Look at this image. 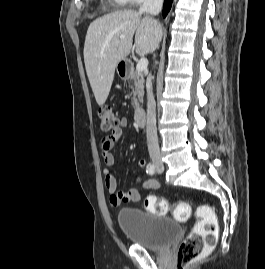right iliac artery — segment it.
<instances>
[{"instance_id": "1", "label": "right iliac artery", "mask_w": 265, "mask_h": 269, "mask_svg": "<svg viewBox=\"0 0 265 269\" xmlns=\"http://www.w3.org/2000/svg\"><path fill=\"white\" fill-rule=\"evenodd\" d=\"M147 173L148 174H150V175H154L155 174V172H156V167H155V165L154 164H152V163H149L148 165H147Z\"/></svg>"}]
</instances>
